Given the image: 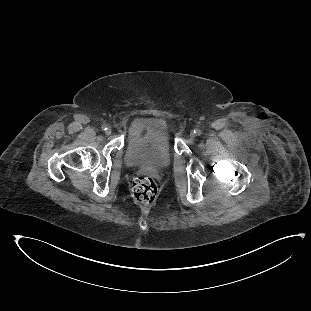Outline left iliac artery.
<instances>
[{
  "label": "left iliac artery",
  "mask_w": 311,
  "mask_h": 311,
  "mask_svg": "<svg viewBox=\"0 0 311 311\" xmlns=\"http://www.w3.org/2000/svg\"><path fill=\"white\" fill-rule=\"evenodd\" d=\"M194 133H195L196 135H201V130H200V129H196V130H194Z\"/></svg>",
  "instance_id": "left-iliac-artery-1"
}]
</instances>
